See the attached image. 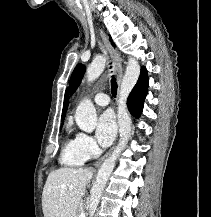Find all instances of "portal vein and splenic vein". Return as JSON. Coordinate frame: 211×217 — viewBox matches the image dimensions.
Here are the masks:
<instances>
[{"mask_svg":"<svg viewBox=\"0 0 211 217\" xmlns=\"http://www.w3.org/2000/svg\"><path fill=\"white\" fill-rule=\"evenodd\" d=\"M79 217H85L83 214H81Z\"/></svg>","mask_w":211,"mask_h":217,"instance_id":"obj_1","label":"portal vein and splenic vein"}]
</instances>
